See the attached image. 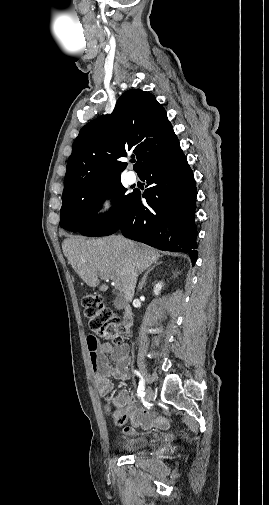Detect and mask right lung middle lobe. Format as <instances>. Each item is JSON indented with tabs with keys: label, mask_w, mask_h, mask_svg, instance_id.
Listing matches in <instances>:
<instances>
[{
	"label": "right lung middle lobe",
	"mask_w": 269,
	"mask_h": 505,
	"mask_svg": "<svg viewBox=\"0 0 269 505\" xmlns=\"http://www.w3.org/2000/svg\"><path fill=\"white\" fill-rule=\"evenodd\" d=\"M126 193L120 180L84 190L65 200L61 207L60 226L84 236H106L120 226L126 207L134 193ZM112 198L114 209L106 216L97 215L102 202Z\"/></svg>",
	"instance_id": "1"
}]
</instances>
